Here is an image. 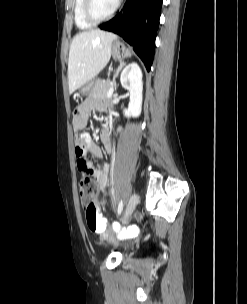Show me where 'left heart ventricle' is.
<instances>
[{"mask_svg":"<svg viewBox=\"0 0 247 304\" xmlns=\"http://www.w3.org/2000/svg\"><path fill=\"white\" fill-rule=\"evenodd\" d=\"M118 0H94L93 10L97 17L109 15L115 8Z\"/></svg>","mask_w":247,"mask_h":304,"instance_id":"left-heart-ventricle-1","label":"left heart ventricle"}]
</instances>
